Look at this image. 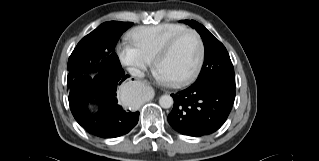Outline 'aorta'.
<instances>
[{
    "label": "aorta",
    "instance_id": "1",
    "mask_svg": "<svg viewBox=\"0 0 319 161\" xmlns=\"http://www.w3.org/2000/svg\"><path fill=\"white\" fill-rule=\"evenodd\" d=\"M159 105L168 109L173 105V98L170 95H162L159 99Z\"/></svg>",
    "mask_w": 319,
    "mask_h": 161
}]
</instances>
